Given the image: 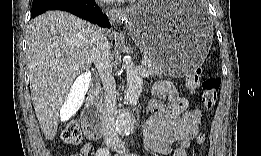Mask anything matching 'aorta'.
Listing matches in <instances>:
<instances>
[{
  "mask_svg": "<svg viewBox=\"0 0 261 156\" xmlns=\"http://www.w3.org/2000/svg\"><path fill=\"white\" fill-rule=\"evenodd\" d=\"M123 68L126 70L127 79L125 101L130 105H134L140 98L143 80L130 57H124ZM116 126L121 135H129L134 129V119L131 113L128 111L120 112L117 116Z\"/></svg>",
  "mask_w": 261,
  "mask_h": 156,
  "instance_id": "762f6f07",
  "label": "aorta"
}]
</instances>
